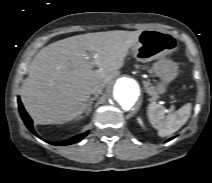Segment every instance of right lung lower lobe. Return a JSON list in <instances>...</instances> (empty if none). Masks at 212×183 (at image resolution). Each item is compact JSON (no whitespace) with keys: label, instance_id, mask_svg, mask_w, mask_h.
<instances>
[{"label":"right lung lower lobe","instance_id":"1","mask_svg":"<svg viewBox=\"0 0 212 183\" xmlns=\"http://www.w3.org/2000/svg\"><path fill=\"white\" fill-rule=\"evenodd\" d=\"M18 104H19V111L21 114V117L25 123V125L27 126V128L36 136H38L36 134V132L33 129V125H32V120L29 117V115L27 114V112L25 111V109L23 108V105L21 103V101L18 99ZM88 134V132L76 135L70 139H67L65 141H60V142H50L51 144H55V145H69V144H73V143H77L79 141H81L86 135Z\"/></svg>","mask_w":212,"mask_h":183}]
</instances>
